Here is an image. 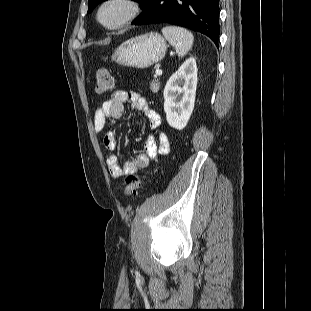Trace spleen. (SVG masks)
<instances>
[{
    "instance_id": "spleen-1",
    "label": "spleen",
    "mask_w": 311,
    "mask_h": 311,
    "mask_svg": "<svg viewBox=\"0 0 311 311\" xmlns=\"http://www.w3.org/2000/svg\"><path fill=\"white\" fill-rule=\"evenodd\" d=\"M162 34L175 48V51L179 57H184L193 45V34L182 27H164L162 29Z\"/></svg>"
}]
</instances>
